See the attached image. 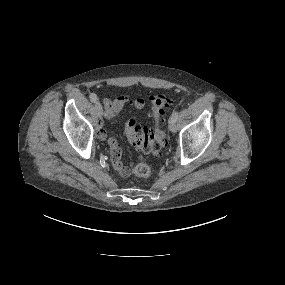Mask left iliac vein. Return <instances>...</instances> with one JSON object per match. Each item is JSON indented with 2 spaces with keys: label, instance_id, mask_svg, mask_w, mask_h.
<instances>
[{
  "label": "left iliac vein",
  "instance_id": "4c4485c4",
  "mask_svg": "<svg viewBox=\"0 0 285 285\" xmlns=\"http://www.w3.org/2000/svg\"><path fill=\"white\" fill-rule=\"evenodd\" d=\"M169 129L172 132H176V130H177L176 120L173 118H170V120H169Z\"/></svg>",
  "mask_w": 285,
  "mask_h": 285
}]
</instances>
